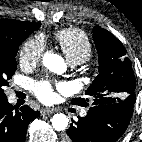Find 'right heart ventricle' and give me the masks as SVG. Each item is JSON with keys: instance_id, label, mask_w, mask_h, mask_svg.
<instances>
[{"instance_id": "obj_1", "label": "right heart ventricle", "mask_w": 142, "mask_h": 142, "mask_svg": "<svg viewBox=\"0 0 142 142\" xmlns=\"http://www.w3.org/2000/svg\"><path fill=\"white\" fill-rule=\"evenodd\" d=\"M55 40L70 63L80 64L92 55V44L87 34L77 28L60 30Z\"/></svg>"}]
</instances>
